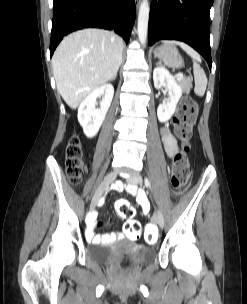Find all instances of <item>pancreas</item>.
<instances>
[{"label":"pancreas","mask_w":247,"mask_h":304,"mask_svg":"<svg viewBox=\"0 0 247 304\" xmlns=\"http://www.w3.org/2000/svg\"><path fill=\"white\" fill-rule=\"evenodd\" d=\"M178 82L186 93H190V89L192 87V84H191V81L189 79L181 78V79L178 80Z\"/></svg>","instance_id":"obj_1"}]
</instances>
